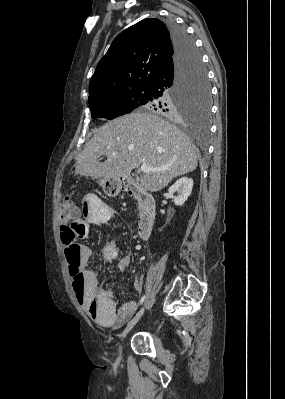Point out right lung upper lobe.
<instances>
[{
	"mask_svg": "<svg viewBox=\"0 0 285 399\" xmlns=\"http://www.w3.org/2000/svg\"><path fill=\"white\" fill-rule=\"evenodd\" d=\"M173 56L174 46L166 24L158 19L138 22L120 33L99 61L89 83V100L150 87Z\"/></svg>",
	"mask_w": 285,
	"mask_h": 399,
	"instance_id": "right-lung-upper-lobe-1",
	"label": "right lung upper lobe"
}]
</instances>
